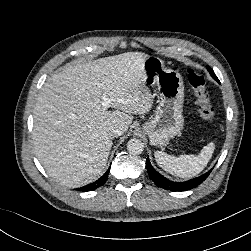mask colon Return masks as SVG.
Listing matches in <instances>:
<instances>
[{
    "mask_svg": "<svg viewBox=\"0 0 251 251\" xmlns=\"http://www.w3.org/2000/svg\"><path fill=\"white\" fill-rule=\"evenodd\" d=\"M187 79L193 89L200 117L205 122H212L215 118V110L210 102V97L205 86V78L203 73L201 71L189 68L187 70Z\"/></svg>",
    "mask_w": 251,
    "mask_h": 251,
    "instance_id": "obj_1",
    "label": "colon"
}]
</instances>
